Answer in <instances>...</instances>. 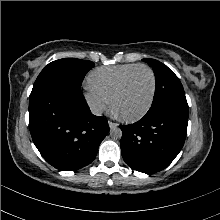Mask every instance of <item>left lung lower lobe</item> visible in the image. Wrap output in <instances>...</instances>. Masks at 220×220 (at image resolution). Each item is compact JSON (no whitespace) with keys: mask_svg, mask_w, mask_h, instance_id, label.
Returning a JSON list of instances; mask_svg holds the SVG:
<instances>
[{"mask_svg":"<svg viewBox=\"0 0 220 220\" xmlns=\"http://www.w3.org/2000/svg\"><path fill=\"white\" fill-rule=\"evenodd\" d=\"M188 115L173 109H158L138 122L120 125L124 161L143 173L163 170L175 159L186 137Z\"/></svg>","mask_w":220,"mask_h":220,"instance_id":"0a47b994","label":"left lung lower lobe"}]
</instances>
